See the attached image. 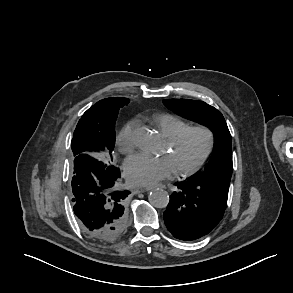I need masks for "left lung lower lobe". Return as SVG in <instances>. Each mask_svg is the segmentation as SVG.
<instances>
[{"instance_id":"obj_1","label":"left lung lower lobe","mask_w":293,"mask_h":293,"mask_svg":"<svg viewBox=\"0 0 293 293\" xmlns=\"http://www.w3.org/2000/svg\"><path fill=\"white\" fill-rule=\"evenodd\" d=\"M228 182H203L194 178L177 185L164 212L172 235L180 240H196L213 230L225 212Z\"/></svg>"}]
</instances>
